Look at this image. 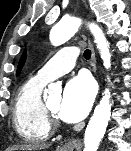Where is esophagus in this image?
<instances>
[{
  "label": "esophagus",
  "mask_w": 131,
  "mask_h": 151,
  "mask_svg": "<svg viewBox=\"0 0 131 151\" xmlns=\"http://www.w3.org/2000/svg\"><path fill=\"white\" fill-rule=\"evenodd\" d=\"M92 66H93V70L96 71V57H95V51L94 48L92 47ZM76 145V141L75 140H71L67 143H65L64 145V149H73Z\"/></svg>",
  "instance_id": "esophagus-1"
}]
</instances>
